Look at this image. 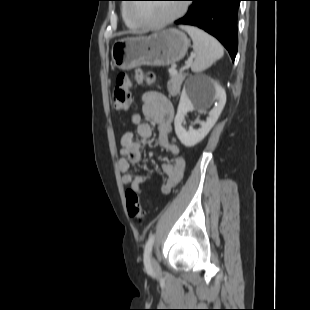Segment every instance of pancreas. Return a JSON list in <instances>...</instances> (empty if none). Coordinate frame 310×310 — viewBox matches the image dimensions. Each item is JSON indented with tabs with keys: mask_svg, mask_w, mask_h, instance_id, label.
I'll list each match as a JSON object with an SVG mask.
<instances>
[{
	"mask_svg": "<svg viewBox=\"0 0 310 310\" xmlns=\"http://www.w3.org/2000/svg\"><path fill=\"white\" fill-rule=\"evenodd\" d=\"M185 79V74L170 72V80L168 82V92L171 96H176L180 93V88Z\"/></svg>",
	"mask_w": 310,
	"mask_h": 310,
	"instance_id": "cf45deb5",
	"label": "pancreas"
}]
</instances>
